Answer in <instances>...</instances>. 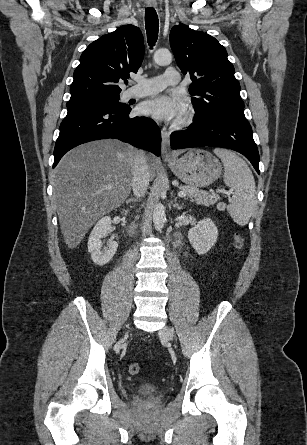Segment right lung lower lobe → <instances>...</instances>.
I'll use <instances>...</instances> for the list:
<instances>
[{
  "label": "right lung lower lobe",
  "mask_w": 307,
  "mask_h": 445,
  "mask_svg": "<svg viewBox=\"0 0 307 445\" xmlns=\"http://www.w3.org/2000/svg\"><path fill=\"white\" fill-rule=\"evenodd\" d=\"M130 111V107L111 104H92L68 109L55 144L53 168L75 146L105 138H116L159 156V127L147 117L129 118Z\"/></svg>",
  "instance_id": "obj_1"
}]
</instances>
